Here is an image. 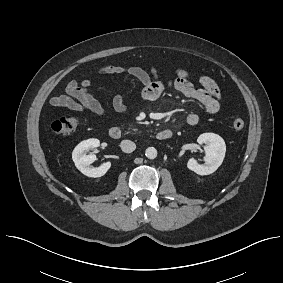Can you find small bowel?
Wrapping results in <instances>:
<instances>
[{"mask_svg": "<svg viewBox=\"0 0 283 283\" xmlns=\"http://www.w3.org/2000/svg\"><path fill=\"white\" fill-rule=\"evenodd\" d=\"M99 74H129L135 77L143 86L142 97L148 101L158 99L167 87L173 88L185 97L191 98L202 105L209 114H216L220 109L221 93L216 82L207 76L199 79L200 87L197 88L190 80L189 74L182 70H176L174 80L164 83L157 78L154 68L145 70L138 66H106L98 70ZM92 80L83 79L80 83L71 80L66 84L65 94L54 95L50 98V104L54 107H64L73 111H90L97 116L103 117L106 112L103 106L90 93ZM112 106L117 112L126 110V103L122 94H117L112 100ZM200 117L197 113L187 116V124L195 126Z\"/></svg>", "mask_w": 283, "mask_h": 283, "instance_id": "1", "label": "small bowel"}]
</instances>
